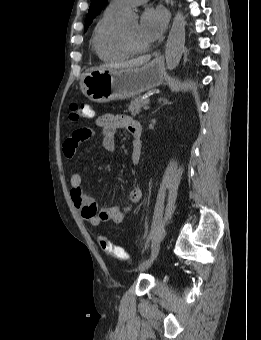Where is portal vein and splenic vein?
<instances>
[{
    "instance_id": "obj_1",
    "label": "portal vein and splenic vein",
    "mask_w": 261,
    "mask_h": 340,
    "mask_svg": "<svg viewBox=\"0 0 261 340\" xmlns=\"http://www.w3.org/2000/svg\"><path fill=\"white\" fill-rule=\"evenodd\" d=\"M149 108H150L149 105H145V106L143 107L144 110H148Z\"/></svg>"
}]
</instances>
